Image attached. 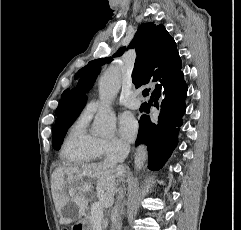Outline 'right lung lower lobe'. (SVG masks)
I'll return each instance as SVG.
<instances>
[{
	"label": "right lung lower lobe",
	"instance_id": "obj_1",
	"mask_svg": "<svg viewBox=\"0 0 241 230\" xmlns=\"http://www.w3.org/2000/svg\"><path fill=\"white\" fill-rule=\"evenodd\" d=\"M182 67V66H181ZM181 67L155 85L150 101L159 110L156 118L142 115L135 145L148 146V168L161 169L177 146L179 126L186 110L187 85Z\"/></svg>",
	"mask_w": 241,
	"mask_h": 230
}]
</instances>
